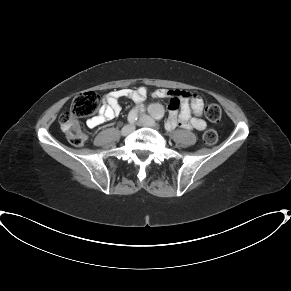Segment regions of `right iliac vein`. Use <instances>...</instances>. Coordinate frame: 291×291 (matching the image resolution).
Instances as JSON below:
<instances>
[{"label":"right iliac vein","mask_w":291,"mask_h":291,"mask_svg":"<svg viewBox=\"0 0 291 291\" xmlns=\"http://www.w3.org/2000/svg\"><path fill=\"white\" fill-rule=\"evenodd\" d=\"M134 130H135V126L134 125H126V126H124L122 128L121 134L123 136H127V135L131 134Z\"/></svg>","instance_id":"right-iliac-vein-1"}]
</instances>
